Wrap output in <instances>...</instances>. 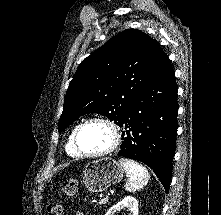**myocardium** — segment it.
I'll return each mask as SVG.
<instances>
[{
  "instance_id": "myocardium-1",
  "label": "myocardium",
  "mask_w": 221,
  "mask_h": 215,
  "mask_svg": "<svg viewBox=\"0 0 221 215\" xmlns=\"http://www.w3.org/2000/svg\"><path fill=\"white\" fill-rule=\"evenodd\" d=\"M90 123H102L106 125L111 132V136H112L111 144L109 145L108 148H106L105 150L101 152L87 153V152L82 151L79 147V144H78L79 133L86 125ZM120 141H121V133H120V129L118 125L113 120L107 117H103V116L91 117V118L84 120L76 127L75 132L73 134L74 149L76 150L79 156L86 157V158H98V157H103L108 154H111L113 151L117 149V147L120 144Z\"/></svg>"
}]
</instances>
